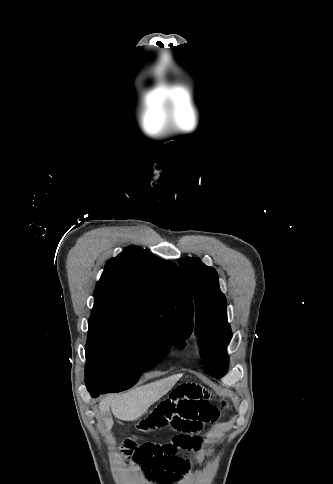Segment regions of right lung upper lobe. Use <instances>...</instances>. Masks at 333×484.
Segmentation results:
<instances>
[{"label":"right lung upper lobe","mask_w":333,"mask_h":484,"mask_svg":"<svg viewBox=\"0 0 333 484\" xmlns=\"http://www.w3.org/2000/svg\"><path fill=\"white\" fill-rule=\"evenodd\" d=\"M92 314L180 321L192 332L194 307L181 270L132 245L106 263L94 291Z\"/></svg>","instance_id":"obj_1"}]
</instances>
